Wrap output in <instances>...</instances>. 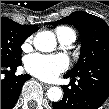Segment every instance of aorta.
<instances>
[{"label": "aorta", "mask_w": 109, "mask_h": 109, "mask_svg": "<svg viewBox=\"0 0 109 109\" xmlns=\"http://www.w3.org/2000/svg\"><path fill=\"white\" fill-rule=\"evenodd\" d=\"M33 44L38 51L50 52L56 47V38L52 32L42 31L35 36ZM62 93L61 88L51 87L47 91V96L50 101L58 102L62 98Z\"/></svg>", "instance_id": "762f6f07"}]
</instances>
